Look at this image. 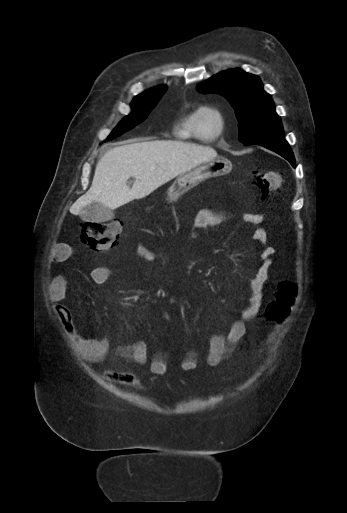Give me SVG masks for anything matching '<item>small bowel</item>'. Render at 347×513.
Returning a JSON list of instances; mask_svg holds the SVG:
<instances>
[{
  "mask_svg": "<svg viewBox=\"0 0 347 513\" xmlns=\"http://www.w3.org/2000/svg\"><path fill=\"white\" fill-rule=\"evenodd\" d=\"M230 218V214L225 210L206 208L199 211L195 219L194 228L189 233V238L193 239L199 236V230L208 227L217 226ZM243 221L255 227L253 240L261 247L260 265L256 270L254 277L247 286L250 295L248 305L241 310L240 319L234 321L227 332H214L208 341V350L206 363L210 367L218 366L223 361L230 358L236 345L245 338L247 327L245 321L255 318L261 308V292L269 279V270L272 265L275 249L268 242L267 231L261 227L263 216L259 213H247L243 215ZM70 255V248L66 244L54 245L50 253L51 263H61L66 261ZM155 260V254L145 246H139L130 260V264L147 263ZM115 270L109 266H101L91 270L90 277L96 284L105 283ZM67 281L61 274L53 275L49 280L48 295L52 302L56 304L55 311L59 315L63 328L68 333L79 356L89 363L103 362L109 352L110 345L107 338L99 339L86 338L75 330L69 309L61 305L60 302L65 298ZM117 355L136 365H144L148 361L147 343L143 340H137L129 345L119 347ZM197 352H187L180 361V368L183 371H192L197 368ZM150 371L154 374H164L168 370V357L164 352H156L149 364ZM110 378L115 379L121 384L128 386L137 385V375L133 372L126 373H108Z\"/></svg>",
  "mask_w": 347,
  "mask_h": 513,
  "instance_id": "small-bowel-1",
  "label": "small bowel"
}]
</instances>
